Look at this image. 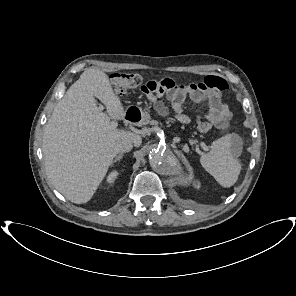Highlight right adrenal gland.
Wrapping results in <instances>:
<instances>
[{
    "label": "right adrenal gland",
    "instance_id": "obj_1",
    "mask_svg": "<svg viewBox=\"0 0 296 296\" xmlns=\"http://www.w3.org/2000/svg\"><path fill=\"white\" fill-rule=\"evenodd\" d=\"M123 156H124L123 153L118 154V155L114 158V160L112 161V163H111V167L114 165V163H116V162H120V160L123 158Z\"/></svg>",
    "mask_w": 296,
    "mask_h": 296
}]
</instances>
